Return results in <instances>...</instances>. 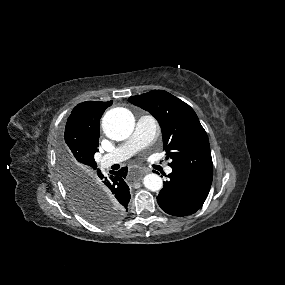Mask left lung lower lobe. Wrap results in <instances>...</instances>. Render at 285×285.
<instances>
[{
    "label": "left lung lower lobe",
    "mask_w": 285,
    "mask_h": 285,
    "mask_svg": "<svg viewBox=\"0 0 285 285\" xmlns=\"http://www.w3.org/2000/svg\"><path fill=\"white\" fill-rule=\"evenodd\" d=\"M169 181L157 196L159 206L174 216H186L199 210L210 191L213 175L173 169Z\"/></svg>",
    "instance_id": "left-lung-lower-lobe-1"
}]
</instances>
